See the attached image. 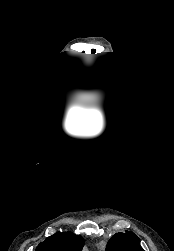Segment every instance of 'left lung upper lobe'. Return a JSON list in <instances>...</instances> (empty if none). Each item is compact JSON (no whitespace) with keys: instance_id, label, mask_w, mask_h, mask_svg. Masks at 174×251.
Here are the masks:
<instances>
[{"instance_id":"5c2ea615","label":"left lung upper lobe","mask_w":174,"mask_h":251,"mask_svg":"<svg viewBox=\"0 0 174 251\" xmlns=\"http://www.w3.org/2000/svg\"><path fill=\"white\" fill-rule=\"evenodd\" d=\"M106 251H144L133 232L116 233L108 242Z\"/></svg>"}]
</instances>
